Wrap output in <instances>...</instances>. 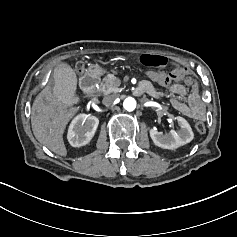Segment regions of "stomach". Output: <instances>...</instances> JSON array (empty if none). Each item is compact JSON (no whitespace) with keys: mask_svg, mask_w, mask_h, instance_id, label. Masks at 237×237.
<instances>
[{"mask_svg":"<svg viewBox=\"0 0 237 237\" xmlns=\"http://www.w3.org/2000/svg\"><path fill=\"white\" fill-rule=\"evenodd\" d=\"M103 74V70L100 69V72L97 74L98 76L102 75Z\"/></svg>","mask_w":237,"mask_h":237,"instance_id":"stomach-1","label":"stomach"}]
</instances>
